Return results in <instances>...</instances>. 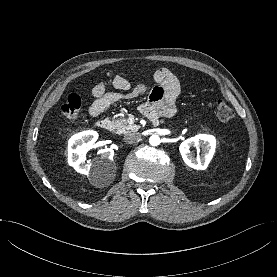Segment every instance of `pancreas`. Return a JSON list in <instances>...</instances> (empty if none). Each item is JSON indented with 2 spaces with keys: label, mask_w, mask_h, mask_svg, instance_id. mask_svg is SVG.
<instances>
[{
  "label": "pancreas",
  "mask_w": 277,
  "mask_h": 277,
  "mask_svg": "<svg viewBox=\"0 0 277 277\" xmlns=\"http://www.w3.org/2000/svg\"><path fill=\"white\" fill-rule=\"evenodd\" d=\"M112 123L113 129H115L118 134H126L137 130V127L135 125H130L126 118L112 119Z\"/></svg>",
  "instance_id": "cf45deb5"
}]
</instances>
